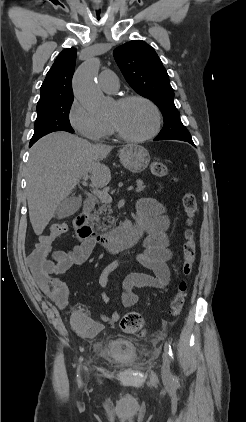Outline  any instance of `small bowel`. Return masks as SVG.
I'll list each match as a JSON object with an SVG mask.
<instances>
[{
  "label": "small bowel",
  "instance_id": "c3829d8e",
  "mask_svg": "<svg viewBox=\"0 0 246 422\" xmlns=\"http://www.w3.org/2000/svg\"><path fill=\"white\" fill-rule=\"evenodd\" d=\"M137 225L144 235L143 252L137 259L154 275L134 273L130 274L122 282L121 302L126 308L132 307L139 302V296L133 291L136 287L147 289H163L170 282L171 273L167 265L172 258L170 241L167 234L169 219L164 213L162 204L151 198H141L137 202ZM94 244L82 242L69 250H56L52 254L51 268L48 275L43 279H36L40 291L53 301L60 309L69 305V289L64 281L58 278L73 266L83 265L92 254ZM120 263L118 261L107 265L98 277L99 286L105 290L108 279ZM102 299L108 302V295L103 292ZM117 312L110 315H101L100 320H95L82 306L74 307L71 315V325L82 337L92 338L103 328V322L114 324L119 320Z\"/></svg>",
  "mask_w": 246,
  "mask_h": 422
}]
</instances>
